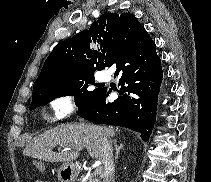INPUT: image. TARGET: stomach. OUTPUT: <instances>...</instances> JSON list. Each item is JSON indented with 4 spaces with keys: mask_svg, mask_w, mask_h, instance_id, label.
<instances>
[{
    "mask_svg": "<svg viewBox=\"0 0 211 182\" xmlns=\"http://www.w3.org/2000/svg\"><path fill=\"white\" fill-rule=\"evenodd\" d=\"M78 176V169L73 163H63L58 170L60 182H75Z\"/></svg>",
    "mask_w": 211,
    "mask_h": 182,
    "instance_id": "0dacf381",
    "label": "stomach"
}]
</instances>
